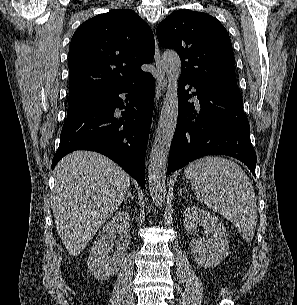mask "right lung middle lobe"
Wrapping results in <instances>:
<instances>
[{
    "label": "right lung middle lobe",
    "mask_w": 297,
    "mask_h": 305,
    "mask_svg": "<svg viewBox=\"0 0 297 305\" xmlns=\"http://www.w3.org/2000/svg\"><path fill=\"white\" fill-rule=\"evenodd\" d=\"M99 99H100V97H96V98H90V99H86V100H82V101H77L74 103H69V107L67 110V116L77 113L78 111L84 109L85 107L96 102Z\"/></svg>",
    "instance_id": "1"
}]
</instances>
